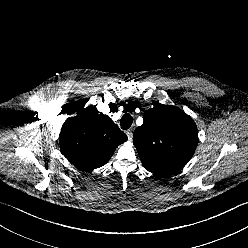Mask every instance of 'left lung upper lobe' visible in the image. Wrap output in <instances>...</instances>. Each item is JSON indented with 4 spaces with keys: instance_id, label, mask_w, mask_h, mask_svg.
Returning <instances> with one entry per match:
<instances>
[{
    "instance_id": "left-lung-upper-lobe-1",
    "label": "left lung upper lobe",
    "mask_w": 248,
    "mask_h": 248,
    "mask_svg": "<svg viewBox=\"0 0 248 248\" xmlns=\"http://www.w3.org/2000/svg\"><path fill=\"white\" fill-rule=\"evenodd\" d=\"M143 119L133 135L143 166L156 176L183 168L198 144L194 121L179 108L163 104L145 111Z\"/></svg>"
}]
</instances>
